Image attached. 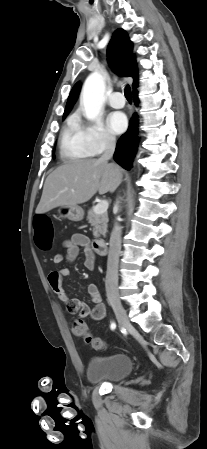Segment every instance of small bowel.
I'll list each match as a JSON object with an SVG mask.
<instances>
[{"mask_svg":"<svg viewBox=\"0 0 207 449\" xmlns=\"http://www.w3.org/2000/svg\"><path fill=\"white\" fill-rule=\"evenodd\" d=\"M64 248L66 249L65 257L62 254H56L53 258L55 265L61 264L64 259L70 263L74 262L79 255L80 249H83L85 267L89 270L94 269L96 256L90 246V240L86 235L74 234L69 240L64 242ZM69 276L70 270L68 268L52 270L48 275V283L58 298L65 303L67 313L78 315L81 318L90 317L93 320L103 319L106 316V308L102 303L98 286L94 283H90L87 286V293L93 303V306L89 307L79 299L71 298L66 292L63 281Z\"/></svg>","mask_w":207,"mask_h":449,"instance_id":"obj_1","label":"small bowel"}]
</instances>
